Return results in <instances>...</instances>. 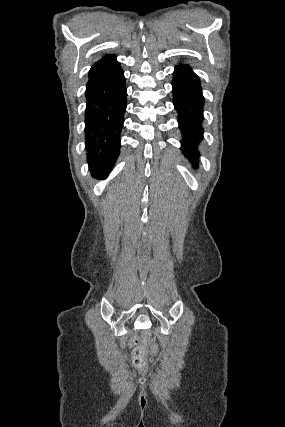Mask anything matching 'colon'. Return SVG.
I'll use <instances>...</instances> for the list:
<instances>
[{
    "instance_id": "colon-1",
    "label": "colon",
    "mask_w": 285,
    "mask_h": 427,
    "mask_svg": "<svg viewBox=\"0 0 285 427\" xmlns=\"http://www.w3.org/2000/svg\"><path fill=\"white\" fill-rule=\"evenodd\" d=\"M141 350L139 348L133 351V361L137 367H142L145 363L144 359L141 356Z\"/></svg>"
}]
</instances>
